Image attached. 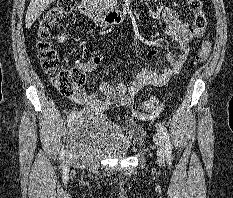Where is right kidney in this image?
Listing matches in <instances>:
<instances>
[{
	"mask_svg": "<svg viewBox=\"0 0 233 198\" xmlns=\"http://www.w3.org/2000/svg\"><path fill=\"white\" fill-rule=\"evenodd\" d=\"M65 39H66V36L64 34L58 37V41L61 43L64 42Z\"/></svg>",
	"mask_w": 233,
	"mask_h": 198,
	"instance_id": "obj_1",
	"label": "right kidney"
}]
</instances>
